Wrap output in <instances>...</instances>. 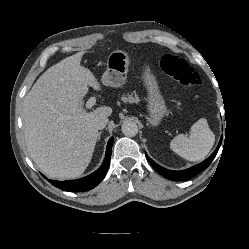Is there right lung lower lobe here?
<instances>
[{
    "instance_id": "right-lung-lower-lobe-1",
    "label": "right lung lower lobe",
    "mask_w": 249,
    "mask_h": 249,
    "mask_svg": "<svg viewBox=\"0 0 249 249\" xmlns=\"http://www.w3.org/2000/svg\"><path fill=\"white\" fill-rule=\"evenodd\" d=\"M112 143H113V138H110L106 148L105 160L101 165V167L98 168L92 174L78 180L61 181V182L55 180H48V181L51 182V184L54 185L55 187L70 192H82L94 188L102 181V179L107 173L111 159ZM42 176L46 178L44 175Z\"/></svg>"
}]
</instances>
